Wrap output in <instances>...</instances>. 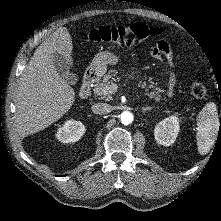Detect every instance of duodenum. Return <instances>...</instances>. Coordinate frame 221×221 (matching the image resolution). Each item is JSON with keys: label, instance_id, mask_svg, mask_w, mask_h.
<instances>
[{"label": "duodenum", "instance_id": "obj_1", "mask_svg": "<svg viewBox=\"0 0 221 221\" xmlns=\"http://www.w3.org/2000/svg\"><path fill=\"white\" fill-rule=\"evenodd\" d=\"M97 80V74L95 71H89L86 73L83 83L79 92V96L81 99H87L88 96L90 95L91 88L93 84Z\"/></svg>", "mask_w": 221, "mask_h": 221}]
</instances>
